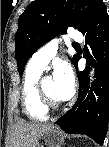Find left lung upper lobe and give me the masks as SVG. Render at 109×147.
<instances>
[{"label": "left lung upper lobe", "mask_w": 109, "mask_h": 147, "mask_svg": "<svg viewBox=\"0 0 109 147\" xmlns=\"http://www.w3.org/2000/svg\"><path fill=\"white\" fill-rule=\"evenodd\" d=\"M101 3L102 0H35L29 4L18 20L15 35V56L20 75L38 48L65 33L68 27L81 31ZM77 58L75 55L72 59L74 64Z\"/></svg>", "instance_id": "left-lung-upper-lobe-1"}]
</instances>
